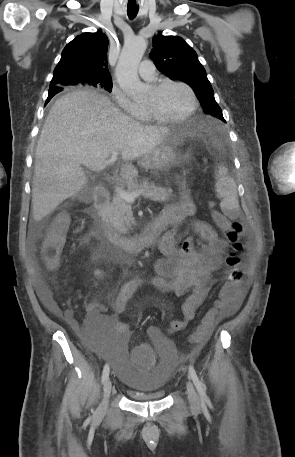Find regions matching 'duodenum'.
I'll return each mask as SVG.
<instances>
[{"mask_svg": "<svg viewBox=\"0 0 295 457\" xmlns=\"http://www.w3.org/2000/svg\"><path fill=\"white\" fill-rule=\"evenodd\" d=\"M110 193L99 188L94 196V205L86 213L90 216L96 234L105 250L111 254L134 253L151 246L163 232V222L157 217L149 222L138 238L122 237L117 235L107 220V207Z\"/></svg>", "mask_w": 295, "mask_h": 457, "instance_id": "duodenum-1", "label": "duodenum"}]
</instances>
